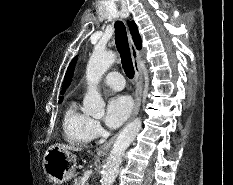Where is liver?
<instances>
[{
  "label": "liver",
  "mask_w": 233,
  "mask_h": 185,
  "mask_svg": "<svg viewBox=\"0 0 233 185\" xmlns=\"http://www.w3.org/2000/svg\"><path fill=\"white\" fill-rule=\"evenodd\" d=\"M54 146H57L63 150L81 151V148H76L74 146H68L65 144H55Z\"/></svg>",
  "instance_id": "1"
}]
</instances>
